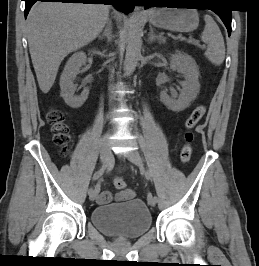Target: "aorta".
Listing matches in <instances>:
<instances>
[{"label":"aorta","instance_id":"obj_1","mask_svg":"<svg viewBox=\"0 0 259 266\" xmlns=\"http://www.w3.org/2000/svg\"><path fill=\"white\" fill-rule=\"evenodd\" d=\"M142 48V27L139 9H135L129 19V36L126 47L124 70L127 75H131L141 56Z\"/></svg>","mask_w":259,"mask_h":266}]
</instances>
